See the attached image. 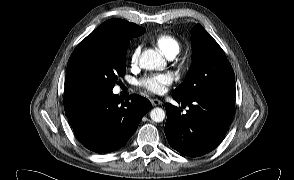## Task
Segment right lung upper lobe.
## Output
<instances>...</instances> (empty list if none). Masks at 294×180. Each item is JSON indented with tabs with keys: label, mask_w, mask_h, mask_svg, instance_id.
Segmentation results:
<instances>
[{
	"label": "right lung upper lobe",
	"mask_w": 294,
	"mask_h": 180,
	"mask_svg": "<svg viewBox=\"0 0 294 180\" xmlns=\"http://www.w3.org/2000/svg\"><path fill=\"white\" fill-rule=\"evenodd\" d=\"M145 28L122 19H110L95 29L86 39L102 37H137L144 33Z\"/></svg>",
	"instance_id": "1"
}]
</instances>
